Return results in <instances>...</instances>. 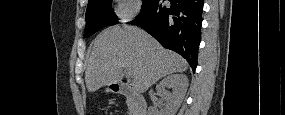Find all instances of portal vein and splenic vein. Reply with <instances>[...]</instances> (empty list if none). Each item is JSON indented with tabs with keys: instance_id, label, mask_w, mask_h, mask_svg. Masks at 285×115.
<instances>
[{
	"instance_id": "18ae733b",
	"label": "portal vein and splenic vein",
	"mask_w": 285,
	"mask_h": 115,
	"mask_svg": "<svg viewBox=\"0 0 285 115\" xmlns=\"http://www.w3.org/2000/svg\"><path fill=\"white\" fill-rule=\"evenodd\" d=\"M126 74L128 75V76H131V71L130 70H126Z\"/></svg>"
}]
</instances>
